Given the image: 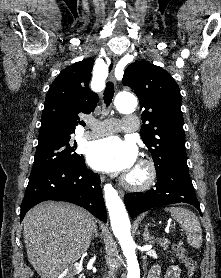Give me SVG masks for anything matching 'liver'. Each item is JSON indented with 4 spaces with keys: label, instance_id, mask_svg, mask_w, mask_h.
<instances>
[{
    "label": "liver",
    "instance_id": "6515ba94",
    "mask_svg": "<svg viewBox=\"0 0 221 278\" xmlns=\"http://www.w3.org/2000/svg\"><path fill=\"white\" fill-rule=\"evenodd\" d=\"M28 259L41 278H58L88 250L97 228L86 210L47 201L33 207L24 221Z\"/></svg>",
    "mask_w": 221,
    "mask_h": 278
}]
</instances>
